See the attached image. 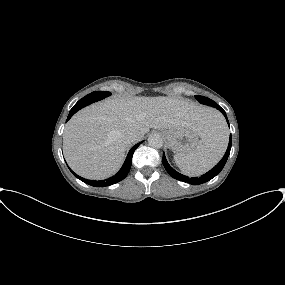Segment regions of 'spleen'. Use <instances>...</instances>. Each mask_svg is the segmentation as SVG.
<instances>
[{
  "label": "spleen",
  "mask_w": 285,
  "mask_h": 285,
  "mask_svg": "<svg viewBox=\"0 0 285 285\" xmlns=\"http://www.w3.org/2000/svg\"><path fill=\"white\" fill-rule=\"evenodd\" d=\"M229 141L227 126L221 117L212 133L202 138L188 154L177 153L174 160L179 169L188 176H199L214 167L223 157Z\"/></svg>",
  "instance_id": "obj_1"
}]
</instances>
